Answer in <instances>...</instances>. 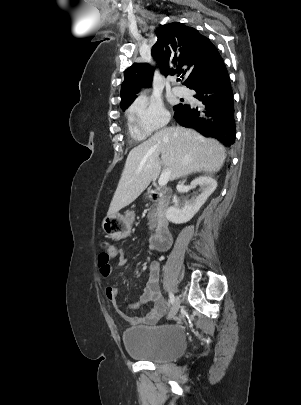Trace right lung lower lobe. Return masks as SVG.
I'll list each match as a JSON object with an SVG mask.
<instances>
[{
	"label": "right lung lower lobe",
	"mask_w": 301,
	"mask_h": 405,
	"mask_svg": "<svg viewBox=\"0 0 301 405\" xmlns=\"http://www.w3.org/2000/svg\"><path fill=\"white\" fill-rule=\"evenodd\" d=\"M190 89L203 106L183 104L175 109L174 118L182 126L190 127L204 136L214 137L224 146L235 142L236 123L233 92L225 65L210 79L199 82Z\"/></svg>",
	"instance_id": "98d812e1"
}]
</instances>
